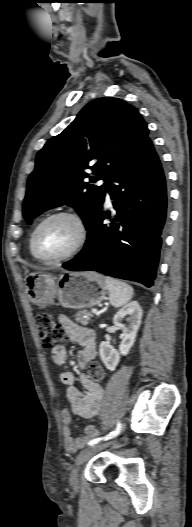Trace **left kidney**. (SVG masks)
Returning <instances> with one entry per match:
<instances>
[{
	"mask_svg": "<svg viewBox=\"0 0 192 527\" xmlns=\"http://www.w3.org/2000/svg\"><path fill=\"white\" fill-rule=\"evenodd\" d=\"M142 310L137 301H133L120 309L113 318L114 325L123 332V339L120 343L119 350L114 349L109 342H101L99 354L105 367L114 371L120 361L121 355L126 356L134 345L137 331L141 324ZM126 319L128 325L122 324Z\"/></svg>",
	"mask_w": 192,
	"mask_h": 527,
	"instance_id": "5707ae66",
	"label": "left kidney"
}]
</instances>
